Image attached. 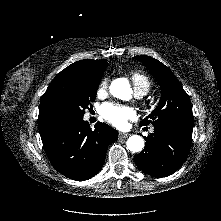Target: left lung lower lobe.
I'll return each mask as SVG.
<instances>
[{"mask_svg": "<svg viewBox=\"0 0 221 221\" xmlns=\"http://www.w3.org/2000/svg\"><path fill=\"white\" fill-rule=\"evenodd\" d=\"M193 127L159 125L146 138L144 150L134 157L137 166L154 177H165L177 171L187 158Z\"/></svg>", "mask_w": 221, "mask_h": 221, "instance_id": "left-lung-lower-lobe-1", "label": "left lung lower lobe"}]
</instances>
